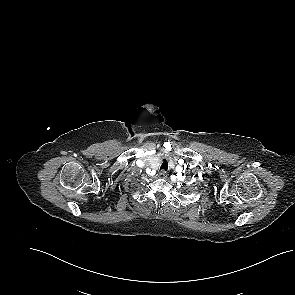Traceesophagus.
Here are the masks:
<instances>
[{"instance_id":"34e87169","label":"esophagus","mask_w":295,"mask_h":295,"mask_svg":"<svg viewBox=\"0 0 295 295\" xmlns=\"http://www.w3.org/2000/svg\"><path fill=\"white\" fill-rule=\"evenodd\" d=\"M167 175H168L167 172L161 171V172H159L158 177L162 178V179H165L167 177Z\"/></svg>"}]
</instances>
